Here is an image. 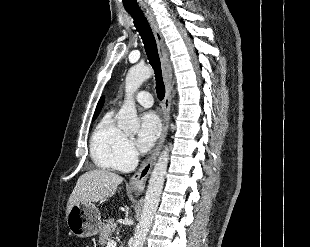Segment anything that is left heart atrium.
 Masks as SVG:
<instances>
[{
  "mask_svg": "<svg viewBox=\"0 0 310 247\" xmlns=\"http://www.w3.org/2000/svg\"><path fill=\"white\" fill-rule=\"evenodd\" d=\"M161 131L158 116L154 112H146L140 117L137 145L142 152L148 151L157 141Z\"/></svg>",
  "mask_w": 310,
  "mask_h": 247,
  "instance_id": "left-heart-atrium-1",
  "label": "left heart atrium"
}]
</instances>
